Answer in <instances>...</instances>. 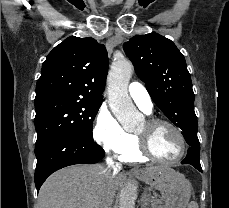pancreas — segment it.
I'll use <instances>...</instances> for the list:
<instances>
[{
    "label": "pancreas",
    "instance_id": "pancreas-1",
    "mask_svg": "<svg viewBox=\"0 0 229 208\" xmlns=\"http://www.w3.org/2000/svg\"><path fill=\"white\" fill-rule=\"evenodd\" d=\"M149 196H151V194H149ZM145 204L146 206H144V208H163V202H160V200H156V198H148Z\"/></svg>",
    "mask_w": 229,
    "mask_h": 208
}]
</instances>
